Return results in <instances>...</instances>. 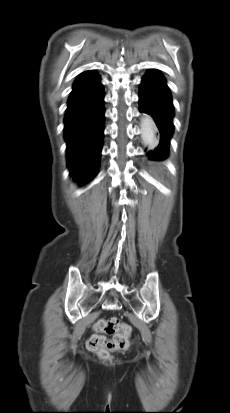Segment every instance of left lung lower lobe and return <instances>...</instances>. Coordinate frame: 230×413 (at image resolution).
Instances as JSON below:
<instances>
[{"instance_id":"left-lung-lower-lobe-1","label":"left lung lower lobe","mask_w":230,"mask_h":413,"mask_svg":"<svg viewBox=\"0 0 230 413\" xmlns=\"http://www.w3.org/2000/svg\"><path fill=\"white\" fill-rule=\"evenodd\" d=\"M139 110L150 114L160 132V142L147 151L149 160L160 161L169 153L170 138L173 134L174 106L165 78L156 70L148 71L142 79L139 90Z\"/></svg>"}]
</instances>
